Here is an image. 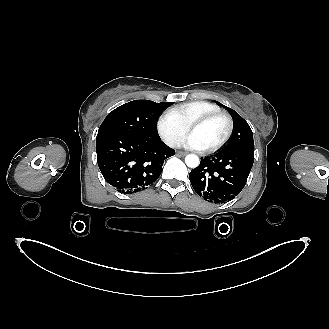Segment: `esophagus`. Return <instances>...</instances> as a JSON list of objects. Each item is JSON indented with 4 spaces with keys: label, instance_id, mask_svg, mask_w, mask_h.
<instances>
[{
    "label": "esophagus",
    "instance_id": "1",
    "mask_svg": "<svg viewBox=\"0 0 329 329\" xmlns=\"http://www.w3.org/2000/svg\"><path fill=\"white\" fill-rule=\"evenodd\" d=\"M177 155L185 156V155H186V152H181V151H179V152H177Z\"/></svg>",
    "mask_w": 329,
    "mask_h": 329
}]
</instances>
